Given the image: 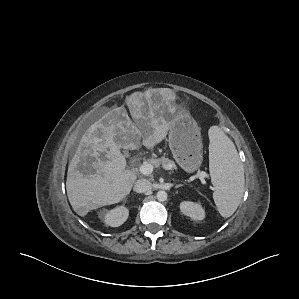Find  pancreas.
<instances>
[{
    "instance_id": "pancreas-1",
    "label": "pancreas",
    "mask_w": 299,
    "mask_h": 299,
    "mask_svg": "<svg viewBox=\"0 0 299 299\" xmlns=\"http://www.w3.org/2000/svg\"><path fill=\"white\" fill-rule=\"evenodd\" d=\"M157 156L155 154L152 155V158L148 160V162L153 166V167H159L161 165L165 166L166 168H175L176 165L175 163L166 158L165 156H162L161 158H156Z\"/></svg>"
}]
</instances>
